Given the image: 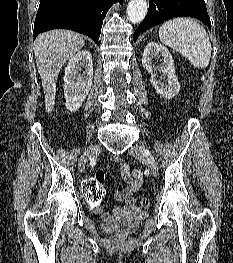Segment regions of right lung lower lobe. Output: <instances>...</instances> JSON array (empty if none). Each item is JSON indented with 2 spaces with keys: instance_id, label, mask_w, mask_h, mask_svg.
<instances>
[{
  "instance_id": "1",
  "label": "right lung lower lobe",
  "mask_w": 233,
  "mask_h": 263,
  "mask_svg": "<svg viewBox=\"0 0 233 263\" xmlns=\"http://www.w3.org/2000/svg\"><path fill=\"white\" fill-rule=\"evenodd\" d=\"M123 0H41L34 22V39L45 31L64 28L92 38L97 45L108 9Z\"/></svg>"
}]
</instances>
